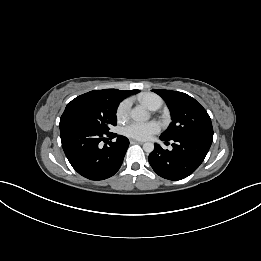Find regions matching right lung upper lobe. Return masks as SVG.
<instances>
[{
  "label": "right lung upper lobe",
  "instance_id": "1",
  "mask_svg": "<svg viewBox=\"0 0 261 261\" xmlns=\"http://www.w3.org/2000/svg\"><path fill=\"white\" fill-rule=\"evenodd\" d=\"M108 93H110L112 96H114L118 101H122L124 98L137 93L139 90H118V89H104Z\"/></svg>",
  "mask_w": 261,
  "mask_h": 261
}]
</instances>
